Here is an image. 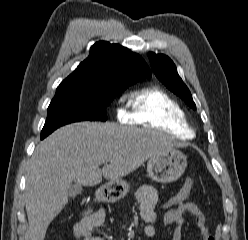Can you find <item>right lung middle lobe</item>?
I'll return each instance as SVG.
<instances>
[{
  "label": "right lung middle lobe",
  "instance_id": "dd1d6c3e",
  "mask_svg": "<svg viewBox=\"0 0 248 240\" xmlns=\"http://www.w3.org/2000/svg\"><path fill=\"white\" fill-rule=\"evenodd\" d=\"M131 84L104 89H57L48 107V115L41 136L46 137L57 128L72 122L106 121V107L118 93Z\"/></svg>",
  "mask_w": 248,
  "mask_h": 240
}]
</instances>
